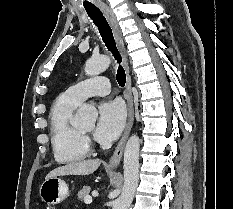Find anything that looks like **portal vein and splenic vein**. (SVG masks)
<instances>
[{"label": "portal vein and splenic vein", "mask_w": 233, "mask_h": 209, "mask_svg": "<svg viewBox=\"0 0 233 209\" xmlns=\"http://www.w3.org/2000/svg\"><path fill=\"white\" fill-rule=\"evenodd\" d=\"M84 203L85 204H91L92 203V198L90 196H87L84 198Z\"/></svg>", "instance_id": "1"}]
</instances>
